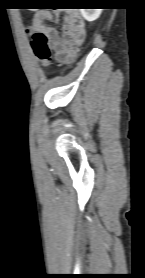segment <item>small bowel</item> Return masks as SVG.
Masks as SVG:
<instances>
[{
	"label": "small bowel",
	"mask_w": 145,
	"mask_h": 278,
	"mask_svg": "<svg viewBox=\"0 0 145 278\" xmlns=\"http://www.w3.org/2000/svg\"><path fill=\"white\" fill-rule=\"evenodd\" d=\"M44 18L57 22L59 13L56 11L54 14H36L28 27V31L42 32L46 35L57 63L70 61L75 57L77 48L83 43L86 36L82 19L75 12L66 13L63 29L59 32L54 27L45 26L43 24Z\"/></svg>",
	"instance_id": "c3829d8e"
}]
</instances>
